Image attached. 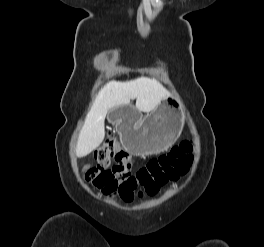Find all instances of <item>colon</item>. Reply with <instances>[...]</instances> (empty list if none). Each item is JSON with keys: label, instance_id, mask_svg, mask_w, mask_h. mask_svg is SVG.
<instances>
[{"label": "colon", "instance_id": "colon-1", "mask_svg": "<svg viewBox=\"0 0 264 247\" xmlns=\"http://www.w3.org/2000/svg\"><path fill=\"white\" fill-rule=\"evenodd\" d=\"M114 139V133L109 132L106 145L96 151L97 163L85 166L83 171L85 178L105 194L117 196L123 201L155 193L160 186L185 174L192 162L193 145L185 141L169 153L151 159L133 173L131 156L116 149Z\"/></svg>", "mask_w": 264, "mask_h": 247}]
</instances>
